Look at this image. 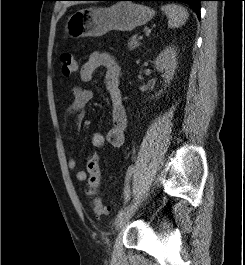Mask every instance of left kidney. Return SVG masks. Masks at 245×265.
<instances>
[{
	"instance_id": "left-kidney-1",
	"label": "left kidney",
	"mask_w": 245,
	"mask_h": 265,
	"mask_svg": "<svg viewBox=\"0 0 245 265\" xmlns=\"http://www.w3.org/2000/svg\"><path fill=\"white\" fill-rule=\"evenodd\" d=\"M177 49L175 47H167L156 58L155 68L164 74L165 87H167L173 79L177 68ZM160 91L156 96H159Z\"/></svg>"
}]
</instances>
